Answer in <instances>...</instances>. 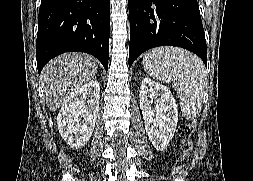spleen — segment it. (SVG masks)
<instances>
[{"mask_svg": "<svg viewBox=\"0 0 253 181\" xmlns=\"http://www.w3.org/2000/svg\"><path fill=\"white\" fill-rule=\"evenodd\" d=\"M143 67L152 78L172 82L184 117L191 120L199 115L205 83L199 57L177 47H158L144 55Z\"/></svg>", "mask_w": 253, "mask_h": 181, "instance_id": "spleen-1", "label": "spleen"}]
</instances>
